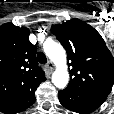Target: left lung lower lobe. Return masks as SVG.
<instances>
[{
    "mask_svg": "<svg viewBox=\"0 0 114 114\" xmlns=\"http://www.w3.org/2000/svg\"><path fill=\"white\" fill-rule=\"evenodd\" d=\"M60 103L67 109L81 114H89L99 108L106 97L90 92L66 88L58 92Z\"/></svg>",
    "mask_w": 114,
    "mask_h": 114,
    "instance_id": "obj_1",
    "label": "left lung lower lobe"
}]
</instances>
